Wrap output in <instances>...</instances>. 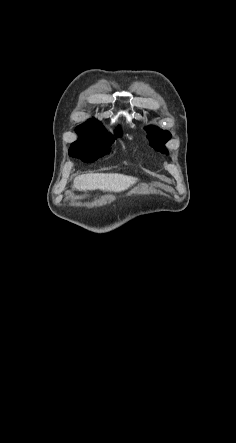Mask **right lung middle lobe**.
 Here are the masks:
<instances>
[{
    "label": "right lung middle lobe",
    "mask_w": 236,
    "mask_h": 443,
    "mask_svg": "<svg viewBox=\"0 0 236 443\" xmlns=\"http://www.w3.org/2000/svg\"><path fill=\"white\" fill-rule=\"evenodd\" d=\"M76 132L79 135V140L74 142L70 149L90 147L108 152L110 145L114 142V139L97 120H89L78 126ZM116 132L117 135H120V130L117 129Z\"/></svg>",
    "instance_id": "right-lung-middle-lobe-1"
}]
</instances>
